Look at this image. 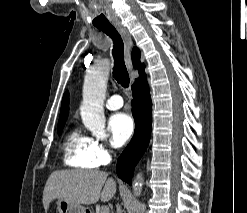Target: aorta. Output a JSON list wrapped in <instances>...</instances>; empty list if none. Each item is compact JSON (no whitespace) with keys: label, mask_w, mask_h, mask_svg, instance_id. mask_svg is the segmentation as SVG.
Returning a JSON list of instances; mask_svg holds the SVG:
<instances>
[{"label":"aorta","mask_w":247,"mask_h":213,"mask_svg":"<svg viewBox=\"0 0 247 213\" xmlns=\"http://www.w3.org/2000/svg\"><path fill=\"white\" fill-rule=\"evenodd\" d=\"M110 72L108 61H102L91 68L85 75L83 85V101L80 107L82 122L93 135L104 133L105 116L103 104L106 95L107 81ZM143 177L139 173L133 181V191L139 196L142 191Z\"/></svg>","instance_id":"1"}]
</instances>
